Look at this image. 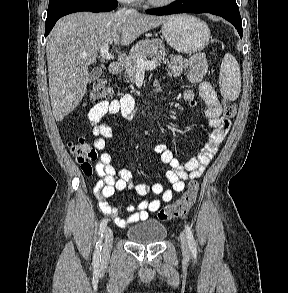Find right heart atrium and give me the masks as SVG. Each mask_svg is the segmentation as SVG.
<instances>
[{"label":"right heart atrium","mask_w":288,"mask_h":293,"mask_svg":"<svg viewBox=\"0 0 288 293\" xmlns=\"http://www.w3.org/2000/svg\"><path fill=\"white\" fill-rule=\"evenodd\" d=\"M119 1H121V2H126V3H130V2H134V1H136V0H119Z\"/></svg>","instance_id":"right-heart-atrium-1"}]
</instances>
